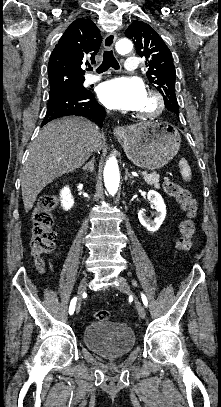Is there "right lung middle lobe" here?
Here are the masks:
<instances>
[{"label":"right lung middle lobe","mask_w":221,"mask_h":407,"mask_svg":"<svg viewBox=\"0 0 221 407\" xmlns=\"http://www.w3.org/2000/svg\"><path fill=\"white\" fill-rule=\"evenodd\" d=\"M84 82V81H83ZM83 82L75 83V84H70V85H58V86H53L50 88V93H54L63 89H85L83 87Z\"/></svg>","instance_id":"right-lung-middle-lobe-1"}]
</instances>
